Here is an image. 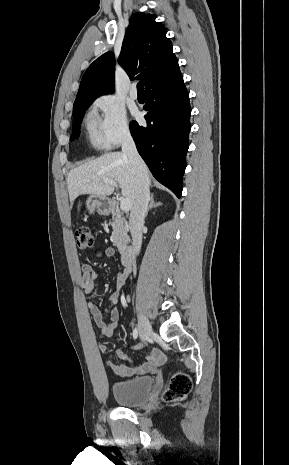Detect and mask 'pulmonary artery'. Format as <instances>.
<instances>
[{"mask_svg": "<svg viewBox=\"0 0 289 465\" xmlns=\"http://www.w3.org/2000/svg\"><path fill=\"white\" fill-rule=\"evenodd\" d=\"M129 95L132 99L136 100L138 98V92L136 89V85H131Z\"/></svg>", "mask_w": 289, "mask_h": 465, "instance_id": "e3ab8cb5", "label": "pulmonary artery"}]
</instances>
